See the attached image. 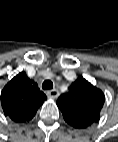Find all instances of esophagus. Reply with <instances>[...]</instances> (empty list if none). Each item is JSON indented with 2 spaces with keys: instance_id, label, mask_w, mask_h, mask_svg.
<instances>
[{
  "instance_id": "1",
  "label": "esophagus",
  "mask_w": 118,
  "mask_h": 142,
  "mask_svg": "<svg viewBox=\"0 0 118 142\" xmlns=\"http://www.w3.org/2000/svg\"><path fill=\"white\" fill-rule=\"evenodd\" d=\"M47 95L48 97L52 99H56L59 96V91L57 89H52V90L47 91Z\"/></svg>"
}]
</instances>
